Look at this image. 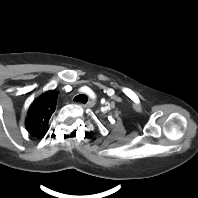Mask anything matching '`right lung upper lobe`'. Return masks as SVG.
<instances>
[{
  "label": "right lung upper lobe",
  "mask_w": 198,
  "mask_h": 198,
  "mask_svg": "<svg viewBox=\"0 0 198 198\" xmlns=\"http://www.w3.org/2000/svg\"><path fill=\"white\" fill-rule=\"evenodd\" d=\"M57 94L55 90L47 91L29 107L25 124L32 135L39 136L47 128L49 119L56 109Z\"/></svg>",
  "instance_id": "cb5924a9"
}]
</instances>
